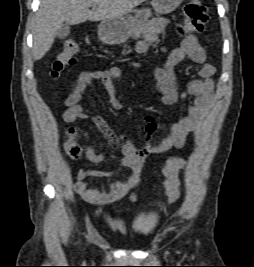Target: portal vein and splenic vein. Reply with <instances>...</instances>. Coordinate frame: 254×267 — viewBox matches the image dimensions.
Masks as SVG:
<instances>
[{"label": "portal vein and splenic vein", "mask_w": 254, "mask_h": 267, "mask_svg": "<svg viewBox=\"0 0 254 267\" xmlns=\"http://www.w3.org/2000/svg\"><path fill=\"white\" fill-rule=\"evenodd\" d=\"M92 5H96V3H92Z\"/></svg>", "instance_id": "1"}]
</instances>
